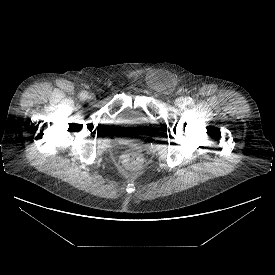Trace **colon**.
Returning <instances> with one entry per match:
<instances>
[{"mask_svg": "<svg viewBox=\"0 0 275 275\" xmlns=\"http://www.w3.org/2000/svg\"><path fill=\"white\" fill-rule=\"evenodd\" d=\"M123 164L130 169H138L144 163L142 154L137 150H129L122 155Z\"/></svg>", "mask_w": 275, "mask_h": 275, "instance_id": "obj_1", "label": "colon"}]
</instances>
